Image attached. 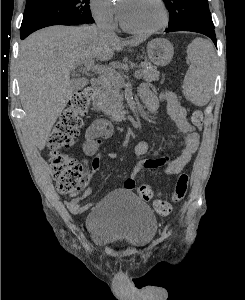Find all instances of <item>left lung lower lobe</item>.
Masks as SVG:
<instances>
[{"mask_svg":"<svg viewBox=\"0 0 245 300\" xmlns=\"http://www.w3.org/2000/svg\"><path fill=\"white\" fill-rule=\"evenodd\" d=\"M174 31H192V32H198L201 34H204L212 39L214 44L217 46V40L214 32V27L197 24V23H182L179 26L167 28L165 32H174Z\"/></svg>","mask_w":245,"mask_h":300,"instance_id":"left-lung-lower-lobe-1","label":"left lung lower lobe"}]
</instances>
